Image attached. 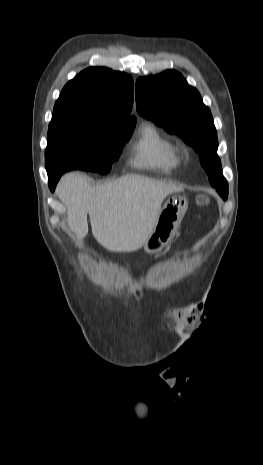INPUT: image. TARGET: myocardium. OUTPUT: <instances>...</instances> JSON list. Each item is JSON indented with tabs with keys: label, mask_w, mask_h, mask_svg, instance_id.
I'll return each instance as SVG.
<instances>
[{
	"label": "myocardium",
	"mask_w": 263,
	"mask_h": 465,
	"mask_svg": "<svg viewBox=\"0 0 263 465\" xmlns=\"http://www.w3.org/2000/svg\"><path fill=\"white\" fill-rule=\"evenodd\" d=\"M182 153H183V156H184L185 158H188V157H189V151H188L187 148H184L183 151H182Z\"/></svg>",
	"instance_id": "f54148a6"
}]
</instances>
